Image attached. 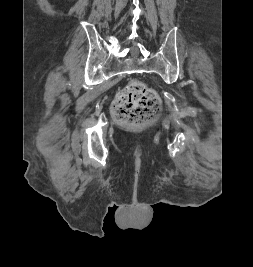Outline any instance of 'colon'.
<instances>
[{"label": "colon", "instance_id": "1", "mask_svg": "<svg viewBox=\"0 0 253 267\" xmlns=\"http://www.w3.org/2000/svg\"><path fill=\"white\" fill-rule=\"evenodd\" d=\"M161 109L158 94L139 80H133L116 96L112 114L116 122L138 126L154 118Z\"/></svg>", "mask_w": 253, "mask_h": 267}]
</instances>
